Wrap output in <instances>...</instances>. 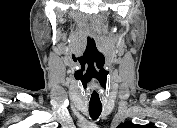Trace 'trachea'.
<instances>
[{"label":"trachea","mask_w":177,"mask_h":128,"mask_svg":"<svg viewBox=\"0 0 177 128\" xmlns=\"http://www.w3.org/2000/svg\"><path fill=\"white\" fill-rule=\"evenodd\" d=\"M101 111H102V106H90L89 105V114L93 120L98 119V117L101 114Z\"/></svg>","instance_id":"1"}]
</instances>
